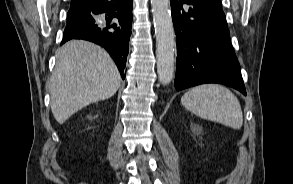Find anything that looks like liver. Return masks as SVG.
Here are the masks:
<instances>
[{"label":"liver","mask_w":293,"mask_h":184,"mask_svg":"<svg viewBox=\"0 0 293 184\" xmlns=\"http://www.w3.org/2000/svg\"><path fill=\"white\" fill-rule=\"evenodd\" d=\"M49 83L51 110L63 124L82 108L112 97L121 85L119 71L100 46L83 40L65 43Z\"/></svg>","instance_id":"obj_1"}]
</instances>
